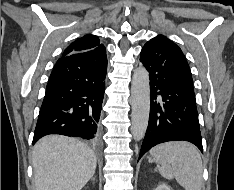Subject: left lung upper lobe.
Returning <instances> with one entry per match:
<instances>
[{
	"label": "left lung upper lobe",
	"instance_id": "obj_1",
	"mask_svg": "<svg viewBox=\"0 0 234 190\" xmlns=\"http://www.w3.org/2000/svg\"><path fill=\"white\" fill-rule=\"evenodd\" d=\"M161 38H165V37L162 35H159V36L151 39L145 45L152 44L156 40L161 39ZM177 49L180 53V61H179L178 67H177L178 79L188 91H190L191 93H194L193 80H192V75H191L189 65H188L186 58H185L183 52L181 51V49L178 46H177Z\"/></svg>",
	"mask_w": 234,
	"mask_h": 190
}]
</instances>
